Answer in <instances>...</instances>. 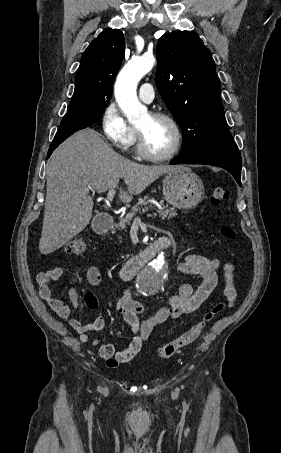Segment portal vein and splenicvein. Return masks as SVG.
Here are the masks:
<instances>
[{
    "label": "portal vein and splenic vein",
    "instance_id": "1",
    "mask_svg": "<svg viewBox=\"0 0 281 453\" xmlns=\"http://www.w3.org/2000/svg\"><path fill=\"white\" fill-rule=\"evenodd\" d=\"M86 190H89V188H86ZM115 192H116L115 188H110V190H108V192H107L108 204H110V202H112ZM137 220H141V218H139V216H136V218H134V222H137Z\"/></svg>",
    "mask_w": 281,
    "mask_h": 453
}]
</instances>
